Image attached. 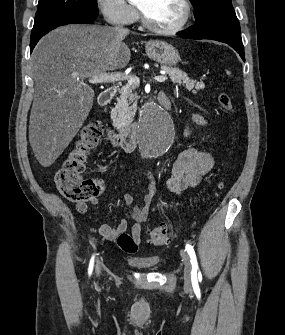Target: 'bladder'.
Wrapping results in <instances>:
<instances>
[{
	"instance_id": "31cf9c89",
	"label": "bladder",
	"mask_w": 285,
	"mask_h": 335,
	"mask_svg": "<svg viewBox=\"0 0 285 335\" xmlns=\"http://www.w3.org/2000/svg\"><path fill=\"white\" fill-rule=\"evenodd\" d=\"M159 261L160 259L158 256L153 258H126V265H133L140 269H155V265H159Z\"/></svg>"
}]
</instances>
